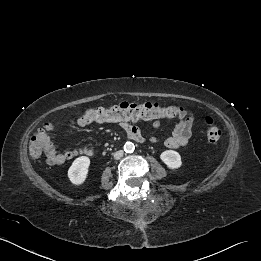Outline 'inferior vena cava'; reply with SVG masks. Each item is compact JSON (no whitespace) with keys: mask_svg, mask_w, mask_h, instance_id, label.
I'll use <instances>...</instances> for the list:
<instances>
[{"mask_svg":"<svg viewBox=\"0 0 261 261\" xmlns=\"http://www.w3.org/2000/svg\"><path fill=\"white\" fill-rule=\"evenodd\" d=\"M123 154H124L123 150L116 151V152L113 154L114 159H115V160L121 159V158L123 157Z\"/></svg>","mask_w":261,"mask_h":261,"instance_id":"1","label":"inferior vena cava"}]
</instances>
